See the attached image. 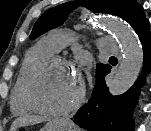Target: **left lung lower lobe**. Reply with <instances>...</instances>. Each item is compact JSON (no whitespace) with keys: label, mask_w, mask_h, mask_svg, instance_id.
<instances>
[{"label":"left lung lower lobe","mask_w":151,"mask_h":131,"mask_svg":"<svg viewBox=\"0 0 151 131\" xmlns=\"http://www.w3.org/2000/svg\"><path fill=\"white\" fill-rule=\"evenodd\" d=\"M131 26L136 31L143 46V74L127 92L112 96L105 83V76L110 73L107 66L97 77L95 87L88 103L82 106L74 116V123L89 131H133L132 113L144 83L145 74L151 69V32L149 21L139 10Z\"/></svg>","instance_id":"obj_1"}]
</instances>
